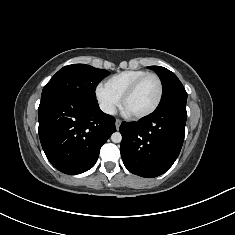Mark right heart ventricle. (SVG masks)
<instances>
[{
	"label": "right heart ventricle",
	"instance_id": "obj_1",
	"mask_svg": "<svg viewBox=\"0 0 235 235\" xmlns=\"http://www.w3.org/2000/svg\"><path fill=\"white\" fill-rule=\"evenodd\" d=\"M148 73L145 70H125L109 77L104 86L119 99L126 89L140 76Z\"/></svg>",
	"mask_w": 235,
	"mask_h": 235
}]
</instances>
